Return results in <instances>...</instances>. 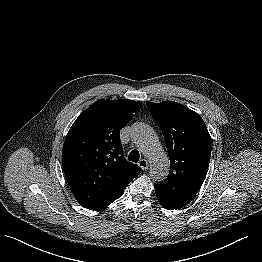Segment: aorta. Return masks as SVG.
Here are the masks:
<instances>
[{
	"label": "aorta",
	"mask_w": 262,
	"mask_h": 262,
	"mask_svg": "<svg viewBox=\"0 0 262 262\" xmlns=\"http://www.w3.org/2000/svg\"><path fill=\"white\" fill-rule=\"evenodd\" d=\"M131 138L149 160L152 180L164 181L169 172V161L155 131L147 124L137 123L132 128Z\"/></svg>",
	"instance_id": "1"
}]
</instances>
